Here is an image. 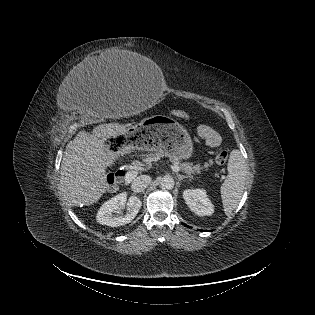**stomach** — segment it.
<instances>
[{
	"label": "stomach",
	"instance_id": "0dacf381",
	"mask_svg": "<svg viewBox=\"0 0 315 315\" xmlns=\"http://www.w3.org/2000/svg\"><path fill=\"white\" fill-rule=\"evenodd\" d=\"M106 153L124 155L130 150L152 151L171 159H188L193 143L188 131L173 118L155 115L133 127L106 137L102 143Z\"/></svg>",
	"mask_w": 315,
	"mask_h": 315
}]
</instances>
